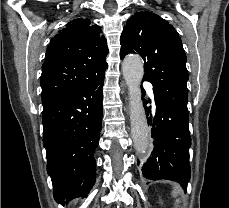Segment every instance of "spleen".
Instances as JSON below:
<instances>
[{
    "label": "spleen",
    "instance_id": "obj_1",
    "mask_svg": "<svg viewBox=\"0 0 229 208\" xmlns=\"http://www.w3.org/2000/svg\"><path fill=\"white\" fill-rule=\"evenodd\" d=\"M180 194H182L180 186H178V184H174L171 196H173V198H177V196H180ZM176 204H180V200H176Z\"/></svg>",
    "mask_w": 229,
    "mask_h": 208
}]
</instances>
